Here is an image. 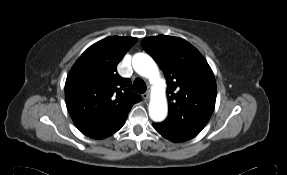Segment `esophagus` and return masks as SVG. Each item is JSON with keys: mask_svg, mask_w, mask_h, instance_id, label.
I'll use <instances>...</instances> for the list:
<instances>
[{"mask_svg": "<svg viewBox=\"0 0 287 175\" xmlns=\"http://www.w3.org/2000/svg\"><path fill=\"white\" fill-rule=\"evenodd\" d=\"M143 99H149L150 97V91H147L145 92L143 95H142Z\"/></svg>", "mask_w": 287, "mask_h": 175, "instance_id": "obj_1", "label": "esophagus"}]
</instances>
